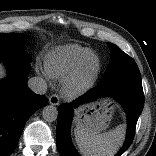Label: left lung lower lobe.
I'll return each instance as SVG.
<instances>
[{
  "instance_id": "left-lung-lower-lobe-1",
  "label": "left lung lower lobe",
  "mask_w": 156,
  "mask_h": 156,
  "mask_svg": "<svg viewBox=\"0 0 156 156\" xmlns=\"http://www.w3.org/2000/svg\"><path fill=\"white\" fill-rule=\"evenodd\" d=\"M105 95H110L118 100L128 115L126 141L116 156H120L131 145L137 120L144 106L142 83L113 81L98 84L95 88L89 90L73 102L62 104L58 108L56 140L57 148L61 156H80L73 147L70 138V126L73 117V109L82 103L92 101Z\"/></svg>"
}]
</instances>
